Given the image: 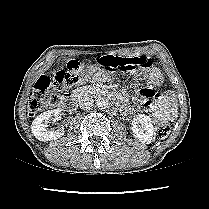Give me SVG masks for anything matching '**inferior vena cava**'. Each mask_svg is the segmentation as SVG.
<instances>
[{
    "label": "inferior vena cava",
    "mask_w": 209,
    "mask_h": 209,
    "mask_svg": "<svg viewBox=\"0 0 209 209\" xmlns=\"http://www.w3.org/2000/svg\"><path fill=\"white\" fill-rule=\"evenodd\" d=\"M79 106L83 110H90L94 106V100L91 97H82L79 100Z\"/></svg>",
    "instance_id": "inferior-vena-cava-1"
}]
</instances>
